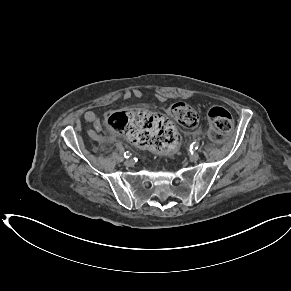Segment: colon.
<instances>
[{"instance_id":"colon-1","label":"colon","mask_w":291,"mask_h":291,"mask_svg":"<svg viewBox=\"0 0 291 291\" xmlns=\"http://www.w3.org/2000/svg\"><path fill=\"white\" fill-rule=\"evenodd\" d=\"M171 116L182 126L196 127L197 112L185 102L171 106ZM209 136L214 141H221L233 128L232 115L221 106H212L207 113ZM106 126L121 134L139 147L158 152H172L178 142L177 131L166 117L141 109L127 112H113L105 117Z\"/></svg>"}]
</instances>
